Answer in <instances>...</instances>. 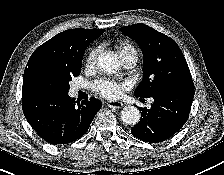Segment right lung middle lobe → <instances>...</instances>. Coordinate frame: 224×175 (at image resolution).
<instances>
[{
  "mask_svg": "<svg viewBox=\"0 0 224 175\" xmlns=\"http://www.w3.org/2000/svg\"><path fill=\"white\" fill-rule=\"evenodd\" d=\"M82 58L76 62L60 65H50L36 72L33 79V88L44 91L68 92L69 81L81 73Z\"/></svg>",
  "mask_w": 224,
  "mask_h": 175,
  "instance_id": "right-lung-middle-lobe-1",
  "label": "right lung middle lobe"
}]
</instances>
